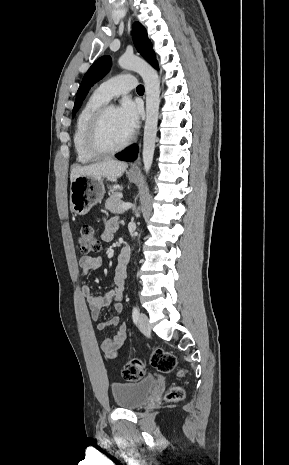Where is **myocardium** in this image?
<instances>
[{
  "mask_svg": "<svg viewBox=\"0 0 289 465\" xmlns=\"http://www.w3.org/2000/svg\"><path fill=\"white\" fill-rule=\"evenodd\" d=\"M113 108L111 105L103 104L99 107L90 118L85 135V143L88 151L96 156H105L118 153L124 150L130 143L131 137H128L118 146H107L102 139V125L107 112Z\"/></svg>",
  "mask_w": 289,
  "mask_h": 465,
  "instance_id": "obj_1",
  "label": "myocardium"
}]
</instances>
